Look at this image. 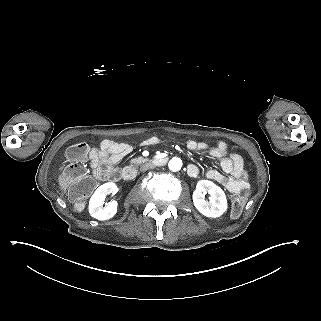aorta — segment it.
I'll return each instance as SVG.
<instances>
[{"instance_id":"obj_1","label":"aorta","mask_w":321,"mask_h":321,"mask_svg":"<svg viewBox=\"0 0 321 321\" xmlns=\"http://www.w3.org/2000/svg\"><path fill=\"white\" fill-rule=\"evenodd\" d=\"M168 167L171 171H179L182 167V161L180 158L177 157H173L169 163H168Z\"/></svg>"}]
</instances>
